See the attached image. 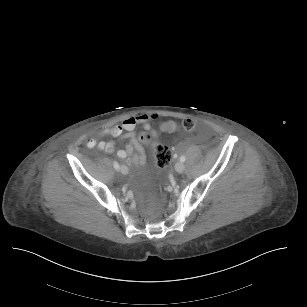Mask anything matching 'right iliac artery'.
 Here are the masks:
<instances>
[{
	"label": "right iliac artery",
	"mask_w": 307,
	"mask_h": 307,
	"mask_svg": "<svg viewBox=\"0 0 307 307\" xmlns=\"http://www.w3.org/2000/svg\"><path fill=\"white\" fill-rule=\"evenodd\" d=\"M113 165H114V168H115L116 170H119V169H120V166H119V164H118L116 161L113 162Z\"/></svg>",
	"instance_id": "right-iliac-artery-1"
}]
</instances>
